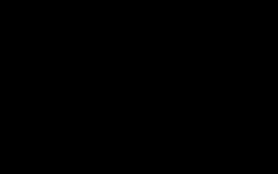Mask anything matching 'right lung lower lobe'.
Returning a JSON list of instances; mask_svg holds the SVG:
<instances>
[{
	"label": "right lung lower lobe",
	"mask_w": 278,
	"mask_h": 174,
	"mask_svg": "<svg viewBox=\"0 0 278 174\" xmlns=\"http://www.w3.org/2000/svg\"><path fill=\"white\" fill-rule=\"evenodd\" d=\"M134 92L119 78L67 73L51 86V106L61 136L84 152L107 148Z\"/></svg>",
	"instance_id": "obj_1"
}]
</instances>
